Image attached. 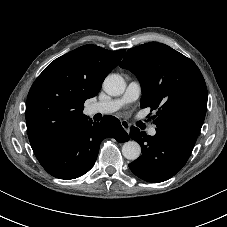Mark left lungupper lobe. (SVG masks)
I'll list each match as a JSON object with an SVG mask.
<instances>
[{
	"instance_id": "left-lung-upper-lobe-1",
	"label": "left lung upper lobe",
	"mask_w": 227,
	"mask_h": 227,
	"mask_svg": "<svg viewBox=\"0 0 227 227\" xmlns=\"http://www.w3.org/2000/svg\"><path fill=\"white\" fill-rule=\"evenodd\" d=\"M120 67L137 76L141 106L156 110V130L194 146L207 109V88L196 64L171 47L150 42L127 51Z\"/></svg>"
}]
</instances>
